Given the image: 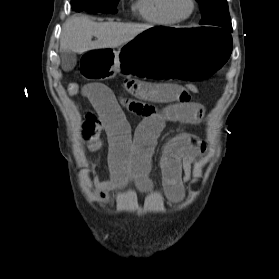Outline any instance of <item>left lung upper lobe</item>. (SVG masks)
<instances>
[{"mask_svg": "<svg viewBox=\"0 0 279 279\" xmlns=\"http://www.w3.org/2000/svg\"><path fill=\"white\" fill-rule=\"evenodd\" d=\"M200 5L202 19L200 24L224 28L231 25L226 0H196Z\"/></svg>", "mask_w": 279, "mask_h": 279, "instance_id": "5c2ea615", "label": "left lung upper lobe"}]
</instances>
